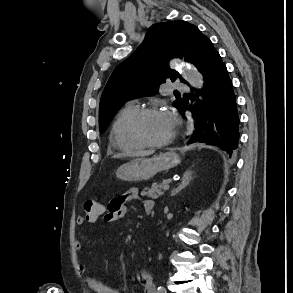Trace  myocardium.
<instances>
[{"instance_id": "obj_1", "label": "myocardium", "mask_w": 293, "mask_h": 293, "mask_svg": "<svg viewBox=\"0 0 293 293\" xmlns=\"http://www.w3.org/2000/svg\"><path fill=\"white\" fill-rule=\"evenodd\" d=\"M160 111H163V110L159 107H155V106L144 107L138 110V112L135 114L132 120V126H131L132 134L139 142L145 145V147L160 148V147L166 146L175 138L177 121L174 118L172 119L173 131L167 139L153 142V141H150L148 138H146L145 135L143 134L142 123L144 119L148 115L156 113V112H160Z\"/></svg>"}]
</instances>
